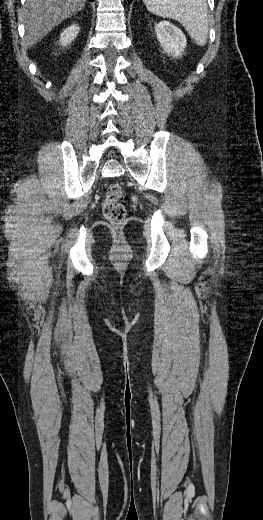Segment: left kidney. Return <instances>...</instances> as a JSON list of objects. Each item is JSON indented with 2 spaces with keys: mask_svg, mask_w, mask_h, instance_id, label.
Here are the masks:
<instances>
[{
  "mask_svg": "<svg viewBox=\"0 0 263 520\" xmlns=\"http://www.w3.org/2000/svg\"><path fill=\"white\" fill-rule=\"evenodd\" d=\"M157 39L165 53L173 57H181L186 47V38L182 31L167 21L155 26Z\"/></svg>",
  "mask_w": 263,
  "mask_h": 520,
  "instance_id": "obj_1",
  "label": "left kidney"
}]
</instances>
